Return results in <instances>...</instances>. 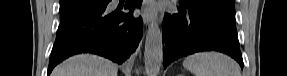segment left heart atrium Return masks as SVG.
I'll list each match as a JSON object with an SVG mask.
<instances>
[{
  "label": "left heart atrium",
  "instance_id": "39dd6f15",
  "mask_svg": "<svg viewBox=\"0 0 287 76\" xmlns=\"http://www.w3.org/2000/svg\"><path fill=\"white\" fill-rule=\"evenodd\" d=\"M149 9H150V11H151V10H152V7L150 6Z\"/></svg>",
  "mask_w": 287,
  "mask_h": 76
}]
</instances>
